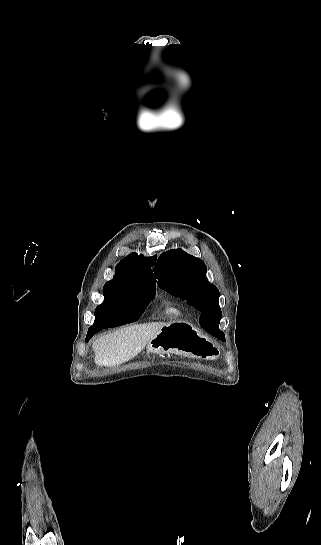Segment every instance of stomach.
<instances>
[{"label":"stomach","instance_id":"0dacf381","mask_svg":"<svg viewBox=\"0 0 321 545\" xmlns=\"http://www.w3.org/2000/svg\"><path fill=\"white\" fill-rule=\"evenodd\" d=\"M213 347L214 351H212ZM148 353L155 355H190L197 359H215L216 349L198 329L190 323H166L149 341Z\"/></svg>","mask_w":321,"mask_h":545}]
</instances>
